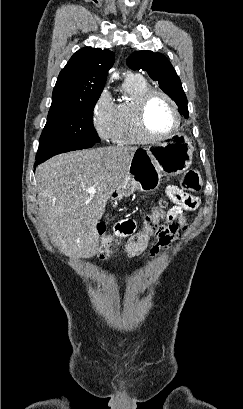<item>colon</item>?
<instances>
[{"mask_svg":"<svg viewBox=\"0 0 243 409\" xmlns=\"http://www.w3.org/2000/svg\"><path fill=\"white\" fill-rule=\"evenodd\" d=\"M181 185L186 191L199 192L203 187V180L200 172L196 169L186 171L182 177ZM167 206L168 202L166 200H161L144 216L142 230L134 234L124 247L127 252L137 254L146 247L151 236L158 238L167 233V228L160 223L165 215ZM98 232L100 235H103L104 229L102 225L98 226ZM112 253V239L110 237H103L98 249L99 258L104 259Z\"/></svg>","mask_w":243,"mask_h":409,"instance_id":"1","label":"colon"}]
</instances>
